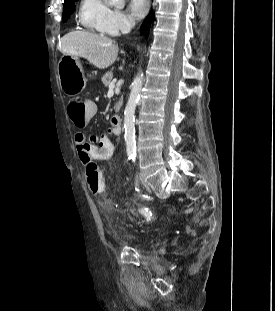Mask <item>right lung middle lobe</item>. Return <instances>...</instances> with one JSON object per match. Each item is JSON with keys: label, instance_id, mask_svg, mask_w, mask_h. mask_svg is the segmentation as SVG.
<instances>
[{"label": "right lung middle lobe", "instance_id": "right-lung-middle-lobe-1", "mask_svg": "<svg viewBox=\"0 0 275 311\" xmlns=\"http://www.w3.org/2000/svg\"><path fill=\"white\" fill-rule=\"evenodd\" d=\"M75 1L77 0H64V9H63V21L69 18V16L73 13L75 9Z\"/></svg>", "mask_w": 275, "mask_h": 311}]
</instances>
